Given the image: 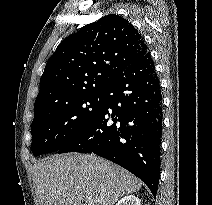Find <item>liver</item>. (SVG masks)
I'll return each instance as SVG.
<instances>
[{
    "mask_svg": "<svg viewBox=\"0 0 212 205\" xmlns=\"http://www.w3.org/2000/svg\"><path fill=\"white\" fill-rule=\"evenodd\" d=\"M37 205H114L141 181L94 154L51 156L33 166ZM85 201V203H84Z\"/></svg>",
    "mask_w": 212,
    "mask_h": 205,
    "instance_id": "6515ba94",
    "label": "liver"
}]
</instances>
